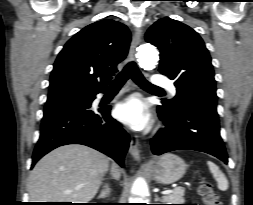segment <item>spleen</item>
I'll list each match as a JSON object with an SVG mask.
<instances>
[{
  "label": "spleen",
  "instance_id": "spleen-1",
  "mask_svg": "<svg viewBox=\"0 0 253 205\" xmlns=\"http://www.w3.org/2000/svg\"><path fill=\"white\" fill-rule=\"evenodd\" d=\"M207 165L209 167L210 172L212 173L214 179L216 180L218 184V188L222 191H225L228 189V180L226 176L223 174V172L219 169V167L211 162L207 161Z\"/></svg>",
  "mask_w": 253,
  "mask_h": 205
}]
</instances>
